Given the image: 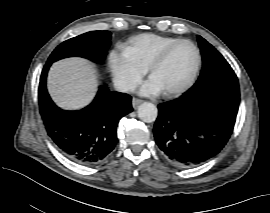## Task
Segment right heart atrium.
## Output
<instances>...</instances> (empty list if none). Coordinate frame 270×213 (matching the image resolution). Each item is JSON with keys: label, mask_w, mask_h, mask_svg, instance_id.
I'll return each instance as SVG.
<instances>
[{"label": "right heart atrium", "mask_w": 270, "mask_h": 213, "mask_svg": "<svg viewBox=\"0 0 270 213\" xmlns=\"http://www.w3.org/2000/svg\"><path fill=\"white\" fill-rule=\"evenodd\" d=\"M110 63L115 81L126 90L135 88L141 82L147 70L146 67L132 63L126 57L123 49L121 53L113 52L111 54Z\"/></svg>", "instance_id": "1"}]
</instances>
